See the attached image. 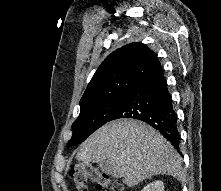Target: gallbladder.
I'll use <instances>...</instances> for the list:
<instances>
[{
    "instance_id": "obj_1",
    "label": "gallbladder",
    "mask_w": 221,
    "mask_h": 191,
    "mask_svg": "<svg viewBox=\"0 0 221 191\" xmlns=\"http://www.w3.org/2000/svg\"><path fill=\"white\" fill-rule=\"evenodd\" d=\"M99 165V168L104 172V173H107V174H111L113 176H116V173H115V170L113 168V166L105 161V162H101L98 164Z\"/></svg>"
}]
</instances>
